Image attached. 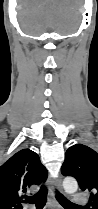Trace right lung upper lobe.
Listing matches in <instances>:
<instances>
[{"instance_id":"obj_1","label":"right lung upper lobe","mask_w":98,"mask_h":209,"mask_svg":"<svg viewBox=\"0 0 98 209\" xmlns=\"http://www.w3.org/2000/svg\"><path fill=\"white\" fill-rule=\"evenodd\" d=\"M47 179V170L39 156L22 149L0 166V209H22V199L32 185Z\"/></svg>"}]
</instances>
